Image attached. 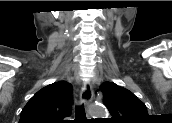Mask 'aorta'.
Masks as SVG:
<instances>
[{
    "label": "aorta",
    "instance_id": "aorta-1",
    "mask_svg": "<svg viewBox=\"0 0 172 123\" xmlns=\"http://www.w3.org/2000/svg\"><path fill=\"white\" fill-rule=\"evenodd\" d=\"M106 112L107 111L103 106L97 104H94L89 108V114L94 118H101L106 115Z\"/></svg>",
    "mask_w": 172,
    "mask_h": 123
}]
</instances>
